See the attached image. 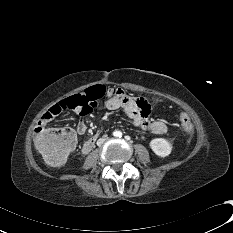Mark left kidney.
<instances>
[{
	"mask_svg": "<svg viewBox=\"0 0 233 233\" xmlns=\"http://www.w3.org/2000/svg\"><path fill=\"white\" fill-rule=\"evenodd\" d=\"M149 145L152 151L159 157H166L172 151V144L164 138L152 139Z\"/></svg>",
	"mask_w": 233,
	"mask_h": 233,
	"instance_id": "1",
	"label": "left kidney"
}]
</instances>
